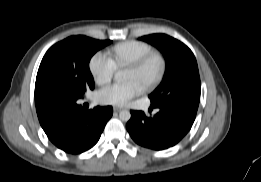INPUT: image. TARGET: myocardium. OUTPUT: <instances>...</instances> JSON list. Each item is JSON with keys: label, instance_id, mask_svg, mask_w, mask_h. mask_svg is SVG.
<instances>
[{"label": "myocardium", "instance_id": "obj_1", "mask_svg": "<svg viewBox=\"0 0 261 182\" xmlns=\"http://www.w3.org/2000/svg\"><path fill=\"white\" fill-rule=\"evenodd\" d=\"M151 61H155L157 63V69L154 75L144 84V90L153 88L162 79L166 68L164 57L159 52L152 51L126 67L130 70L139 71L142 70Z\"/></svg>", "mask_w": 261, "mask_h": 182}]
</instances>
